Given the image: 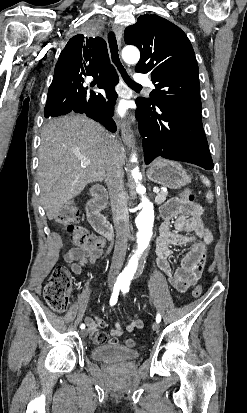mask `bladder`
Masks as SVG:
<instances>
[{"label":"bladder","instance_id":"31cf9c89","mask_svg":"<svg viewBox=\"0 0 247 413\" xmlns=\"http://www.w3.org/2000/svg\"><path fill=\"white\" fill-rule=\"evenodd\" d=\"M93 360L110 362H129L138 357V352L123 345H105L92 349Z\"/></svg>","mask_w":247,"mask_h":413}]
</instances>
